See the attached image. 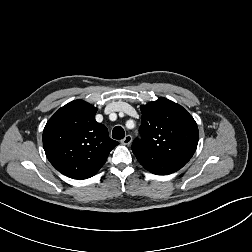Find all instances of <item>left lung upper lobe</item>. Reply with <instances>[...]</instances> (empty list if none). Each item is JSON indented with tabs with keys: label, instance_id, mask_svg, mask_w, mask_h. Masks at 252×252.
<instances>
[{
	"label": "left lung upper lobe",
	"instance_id": "obj_1",
	"mask_svg": "<svg viewBox=\"0 0 252 252\" xmlns=\"http://www.w3.org/2000/svg\"><path fill=\"white\" fill-rule=\"evenodd\" d=\"M141 112V139L136 138L131 147L137 159H191L199 133L195 120L182 106L160 97L142 105Z\"/></svg>",
	"mask_w": 252,
	"mask_h": 252
}]
</instances>
